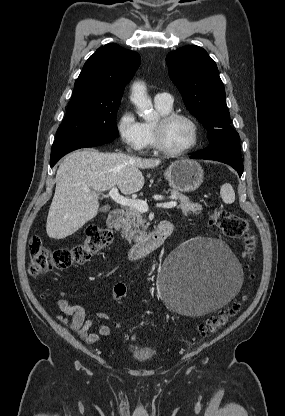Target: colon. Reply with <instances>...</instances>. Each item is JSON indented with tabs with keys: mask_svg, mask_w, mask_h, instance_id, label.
Returning <instances> with one entry per match:
<instances>
[{
	"mask_svg": "<svg viewBox=\"0 0 285 416\" xmlns=\"http://www.w3.org/2000/svg\"><path fill=\"white\" fill-rule=\"evenodd\" d=\"M210 220L227 237L242 240L244 244L243 256L249 261L253 260L257 239L247 220L223 208H216L212 212ZM111 241V232L96 225L87 227L84 240L70 248H49L38 236H33L29 241V271L33 276H42L52 270H62L71 265L82 264L104 249ZM126 294L127 286L124 283L115 285L113 289L115 301H121ZM240 309L241 301H234L226 308L219 310L206 323L199 325V333L202 336L214 334L228 324Z\"/></svg>",
	"mask_w": 285,
	"mask_h": 416,
	"instance_id": "colon-1",
	"label": "colon"
}]
</instances>
